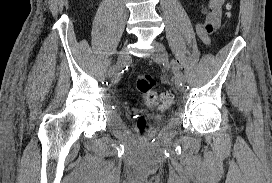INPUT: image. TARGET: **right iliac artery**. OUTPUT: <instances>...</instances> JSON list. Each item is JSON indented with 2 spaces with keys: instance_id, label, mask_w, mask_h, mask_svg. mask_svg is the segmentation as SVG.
I'll return each mask as SVG.
<instances>
[{
  "instance_id": "obj_1",
  "label": "right iliac artery",
  "mask_w": 272,
  "mask_h": 183,
  "mask_svg": "<svg viewBox=\"0 0 272 183\" xmlns=\"http://www.w3.org/2000/svg\"><path fill=\"white\" fill-rule=\"evenodd\" d=\"M115 68V66H112L110 70H113Z\"/></svg>"
}]
</instances>
